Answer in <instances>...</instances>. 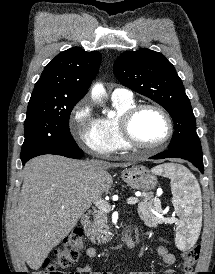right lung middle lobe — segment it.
I'll list each match as a JSON object with an SVG mask.
<instances>
[{"label": "right lung middle lobe", "mask_w": 215, "mask_h": 274, "mask_svg": "<svg viewBox=\"0 0 215 274\" xmlns=\"http://www.w3.org/2000/svg\"><path fill=\"white\" fill-rule=\"evenodd\" d=\"M76 104L29 102L21 159L78 147L69 130L70 113Z\"/></svg>", "instance_id": "1"}]
</instances>
